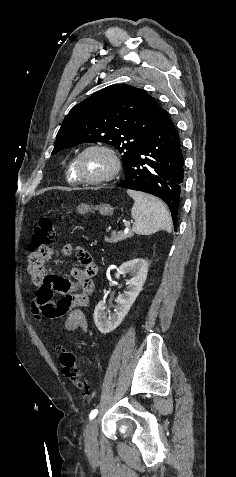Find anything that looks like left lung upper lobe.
<instances>
[{
  "instance_id": "1",
  "label": "left lung upper lobe",
  "mask_w": 236,
  "mask_h": 477,
  "mask_svg": "<svg viewBox=\"0 0 236 477\" xmlns=\"http://www.w3.org/2000/svg\"><path fill=\"white\" fill-rule=\"evenodd\" d=\"M162 111L144 90L125 84L108 86L70 110L57 133L52 154L81 143L104 142L122 154L125 171Z\"/></svg>"
}]
</instances>
